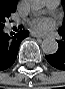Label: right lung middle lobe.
I'll list each match as a JSON object with an SVG mask.
<instances>
[{"label": "right lung middle lobe", "instance_id": "right-lung-middle-lobe-1", "mask_svg": "<svg viewBox=\"0 0 65 89\" xmlns=\"http://www.w3.org/2000/svg\"><path fill=\"white\" fill-rule=\"evenodd\" d=\"M14 12L13 9L0 6V29L4 28L6 18L9 17L10 13Z\"/></svg>", "mask_w": 65, "mask_h": 89}]
</instances>
